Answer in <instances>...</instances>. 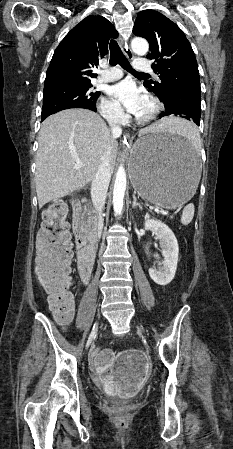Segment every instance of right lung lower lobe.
I'll list each match as a JSON object with an SVG mask.
<instances>
[{"label": "right lung lower lobe", "mask_w": 233, "mask_h": 449, "mask_svg": "<svg viewBox=\"0 0 233 449\" xmlns=\"http://www.w3.org/2000/svg\"><path fill=\"white\" fill-rule=\"evenodd\" d=\"M96 111V110H95ZM46 117L41 118V121H43Z\"/></svg>", "instance_id": "1"}]
</instances>
